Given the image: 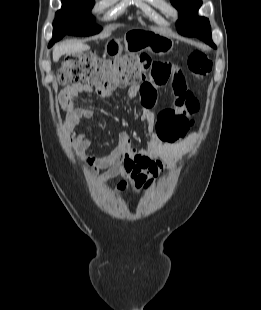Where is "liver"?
<instances>
[{
  "mask_svg": "<svg viewBox=\"0 0 261 310\" xmlns=\"http://www.w3.org/2000/svg\"><path fill=\"white\" fill-rule=\"evenodd\" d=\"M89 45L82 43L81 41H69L55 46L53 50V61L57 62L64 54H72L89 50Z\"/></svg>",
  "mask_w": 261,
  "mask_h": 310,
  "instance_id": "liver-1",
  "label": "liver"
}]
</instances>
